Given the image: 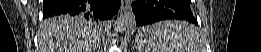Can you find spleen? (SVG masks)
Instances as JSON below:
<instances>
[{
  "label": "spleen",
  "mask_w": 261,
  "mask_h": 52,
  "mask_svg": "<svg viewBox=\"0 0 261 52\" xmlns=\"http://www.w3.org/2000/svg\"><path fill=\"white\" fill-rule=\"evenodd\" d=\"M140 52H202L195 28L181 21H163L137 35Z\"/></svg>",
  "instance_id": "spleen-1"
}]
</instances>
